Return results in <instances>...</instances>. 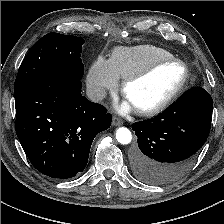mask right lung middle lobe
<instances>
[{"label":"right lung middle lobe","mask_w":224,"mask_h":224,"mask_svg":"<svg viewBox=\"0 0 224 224\" xmlns=\"http://www.w3.org/2000/svg\"><path fill=\"white\" fill-rule=\"evenodd\" d=\"M80 37L48 33L38 40L19 67L14 85L17 97L24 89L49 79L80 81L84 73Z\"/></svg>","instance_id":"right-lung-middle-lobe-1"}]
</instances>
